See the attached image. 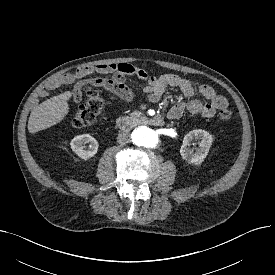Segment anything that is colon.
<instances>
[{
    "instance_id": "5ec220e1",
    "label": "colon",
    "mask_w": 275,
    "mask_h": 275,
    "mask_svg": "<svg viewBox=\"0 0 275 275\" xmlns=\"http://www.w3.org/2000/svg\"><path fill=\"white\" fill-rule=\"evenodd\" d=\"M97 86L94 81H88L83 84L86 100L71 119V126L73 128H83L94 123L104 110L105 101L100 91L96 88ZM232 117L233 111L231 108L224 107L220 109L219 118L222 121L228 122Z\"/></svg>"
}]
</instances>
